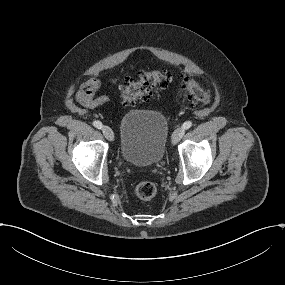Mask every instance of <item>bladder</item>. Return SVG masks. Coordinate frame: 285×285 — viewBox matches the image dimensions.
<instances>
[{"label":"bladder","mask_w":285,"mask_h":285,"mask_svg":"<svg viewBox=\"0 0 285 285\" xmlns=\"http://www.w3.org/2000/svg\"><path fill=\"white\" fill-rule=\"evenodd\" d=\"M169 127L159 111L134 110L125 113L119 124L118 145L127 165L157 166L165 156Z\"/></svg>","instance_id":"bladder-1"}]
</instances>
